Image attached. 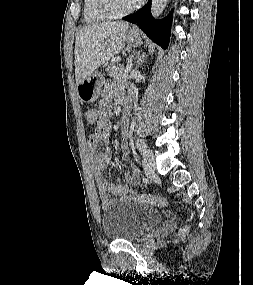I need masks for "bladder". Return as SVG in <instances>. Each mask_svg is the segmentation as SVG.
I'll use <instances>...</instances> for the list:
<instances>
[{
    "label": "bladder",
    "mask_w": 253,
    "mask_h": 285,
    "mask_svg": "<svg viewBox=\"0 0 253 285\" xmlns=\"http://www.w3.org/2000/svg\"><path fill=\"white\" fill-rule=\"evenodd\" d=\"M163 214L150 206L122 202L115 204L102 214L104 235L111 240H134L148 229L159 224Z\"/></svg>",
    "instance_id": "obj_1"
}]
</instances>
